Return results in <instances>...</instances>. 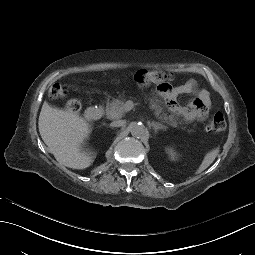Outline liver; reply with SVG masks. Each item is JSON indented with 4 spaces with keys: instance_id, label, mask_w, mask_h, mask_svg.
I'll return each mask as SVG.
<instances>
[{
    "instance_id": "1",
    "label": "liver",
    "mask_w": 255,
    "mask_h": 255,
    "mask_svg": "<svg viewBox=\"0 0 255 255\" xmlns=\"http://www.w3.org/2000/svg\"><path fill=\"white\" fill-rule=\"evenodd\" d=\"M38 126L44 143L60 164L85 169L93 163L88 154L80 151L83 140L90 133L84 119L72 112L52 108L44 102Z\"/></svg>"
}]
</instances>
